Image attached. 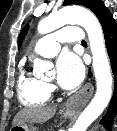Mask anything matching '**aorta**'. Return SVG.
<instances>
[{
	"instance_id": "obj_1",
	"label": "aorta",
	"mask_w": 117,
	"mask_h": 131,
	"mask_svg": "<svg viewBox=\"0 0 117 131\" xmlns=\"http://www.w3.org/2000/svg\"><path fill=\"white\" fill-rule=\"evenodd\" d=\"M67 23L79 24L86 30L92 52V66L97 84L96 94L72 128V131H86L107 107L112 96L113 79L101 25L96 16L89 10L82 7L62 8L42 19L38 24V32L46 34ZM51 67V64L45 60H34V73L37 76L48 73Z\"/></svg>"
}]
</instances>
